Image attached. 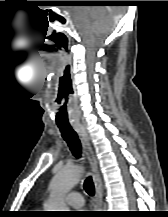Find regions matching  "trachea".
I'll use <instances>...</instances> for the list:
<instances>
[{
  "label": "trachea",
  "mask_w": 168,
  "mask_h": 217,
  "mask_svg": "<svg viewBox=\"0 0 168 217\" xmlns=\"http://www.w3.org/2000/svg\"><path fill=\"white\" fill-rule=\"evenodd\" d=\"M63 139L67 142L71 152L77 158L81 156V143L80 140L72 127H59ZM85 191L93 196L95 194L94 184L92 178L88 177L83 184Z\"/></svg>",
  "instance_id": "1"
}]
</instances>
